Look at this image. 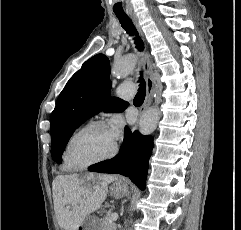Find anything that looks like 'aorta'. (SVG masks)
Segmentation results:
<instances>
[{
    "instance_id": "1",
    "label": "aorta",
    "mask_w": 241,
    "mask_h": 230,
    "mask_svg": "<svg viewBox=\"0 0 241 230\" xmlns=\"http://www.w3.org/2000/svg\"><path fill=\"white\" fill-rule=\"evenodd\" d=\"M137 57L135 55H128L122 59L115 61L111 74L116 78L127 77L135 68ZM160 119V111L156 108L147 109L141 116L139 122V131L143 135H150L154 132Z\"/></svg>"
}]
</instances>
